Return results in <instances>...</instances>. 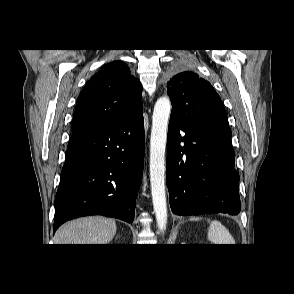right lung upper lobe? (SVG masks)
<instances>
[{
    "mask_svg": "<svg viewBox=\"0 0 294 294\" xmlns=\"http://www.w3.org/2000/svg\"><path fill=\"white\" fill-rule=\"evenodd\" d=\"M141 86L121 61L104 65L81 91L73 133L111 124L142 106Z\"/></svg>",
    "mask_w": 294,
    "mask_h": 294,
    "instance_id": "obj_1",
    "label": "right lung upper lobe"
}]
</instances>
